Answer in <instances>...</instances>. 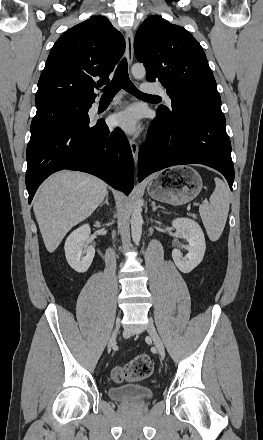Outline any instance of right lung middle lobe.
<instances>
[{
    "label": "right lung middle lobe",
    "mask_w": 263,
    "mask_h": 440,
    "mask_svg": "<svg viewBox=\"0 0 263 440\" xmlns=\"http://www.w3.org/2000/svg\"><path fill=\"white\" fill-rule=\"evenodd\" d=\"M89 103L59 102L37 108L31 123L30 140L41 137L49 131L69 123L89 120Z\"/></svg>",
    "instance_id": "dd1d6c3e"
}]
</instances>
